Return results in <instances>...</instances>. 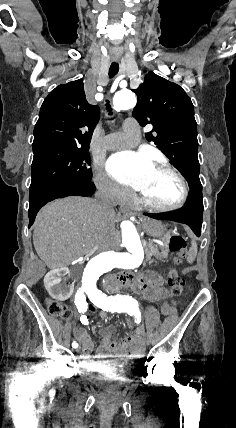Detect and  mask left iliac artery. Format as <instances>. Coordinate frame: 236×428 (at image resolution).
<instances>
[{
	"label": "left iliac artery",
	"mask_w": 236,
	"mask_h": 428,
	"mask_svg": "<svg viewBox=\"0 0 236 428\" xmlns=\"http://www.w3.org/2000/svg\"><path fill=\"white\" fill-rule=\"evenodd\" d=\"M86 294L94 305L107 312L121 313L138 308V302L132 296L117 294L107 297L102 291H87Z\"/></svg>",
	"instance_id": "44dca946"
}]
</instances>
